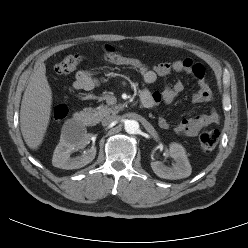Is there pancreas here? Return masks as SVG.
<instances>
[{
  "instance_id": "obj_1",
  "label": "pancreas",
  "mask_w": 248,
  "mask_h": 248,
  "mask_svg": "<svg viewBox=\"0 0 248 248\" xmlns=\"http://www.w3.org/2000/svg\"><path fill=\"white\" fill-rule=\"evenodd\" d=\"M123 106L121 104L115 105L113 107H108L107 105H101L95 109L89 108L88 110L92 113V116L96 120H101L106 116H109L110 114H116L118 113Z\"/></svg>"
}]
</instances>
